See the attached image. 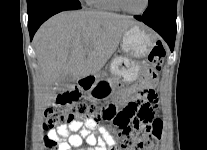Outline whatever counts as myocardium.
I'll return each mask as SVG.
<instances>
[{
	"label": "myocardium",
	"instance_id": "1",
	"mask_svg": "<svg viewBox=\"0 0 207 150\" xmlns=\"http://www.w3.org/2000/svg\"><path fill=\"white\" fill-rule=\"evenodd\" d=\"M114 2L120 8V10H122V11H124L126 13H129V14H132V15H140V14L144 13L147 10V8L149 6V3H150V0H146L144 7L141 10H139V11H131V10H128L124 6L122 0H114Z\"/></svg>",
	"mask_w": 207,
	"mask_h": 150
}]
</instances>
